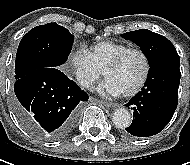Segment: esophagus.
<instances>
[{
  "label": "esophagus",
  "mask_w": 190,
  "mask_h": 165,
  "mask_svg": "<svg viewBox=\"0 0 190 165\" xmlns=\"http://www.w3.org/2000/svg\"><path fill=\"white\" fill-rule=\"evenodd\" d=\"M100 103H102L106 107H116L117 106V104L113 103V102L100 101Z\"/></svg>",
  "instance_id": "34e87169"
}]
</instances>
